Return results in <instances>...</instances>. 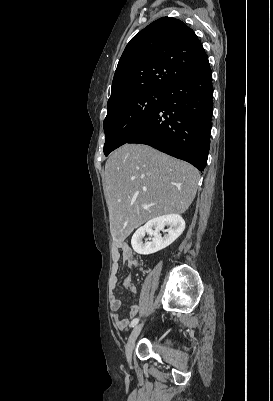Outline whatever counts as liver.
<instances>
[{
  "instance_id": "1",
  "label": "liver",
  "mask_w": 273,
  "mask_h": 401,
  "mask_svg": "<svg viewBox=\"0 0 273 401\" xmlns=\"http://www.w3.org/2000/svg\"><path fill=\"white\" fill-rule=\"evenodd\" d=\"M199 178V170L189 162L147 144L116 148L106 160L103 176L113 241L123 243L149 219L185 213ZM142 205H149V209Z\"/></svg>"
}]
</instances>
